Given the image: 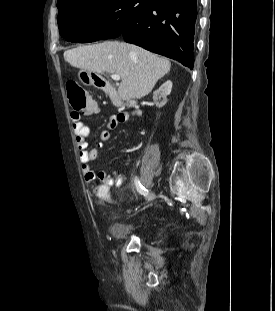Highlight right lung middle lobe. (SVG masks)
Here are the masks:
<instances>
[{"instance_id": "obj_1", "label": "right lung middle lobe", "mask_w": 275, "mask_h": 311, "mask_svg": "<svg viewBox=\"0 0 275 311\" xmlns=\"http://www.w3.org/2000/svg\"><path fill=\"white\" fill-rule=\"evenodd\" d=\"M157 0H71L58 5L60 35L71 42L118 37L130 21Z\"/></svg>"}]
</instances>
